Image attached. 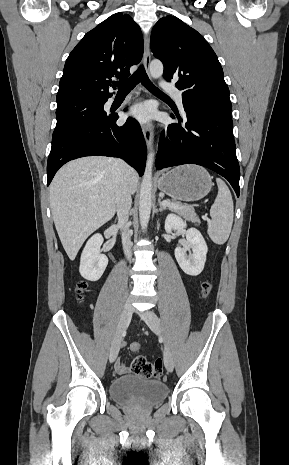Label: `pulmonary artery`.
Instances as JSON below:
<instances>
[{
  "instance_id": "1",
  "label": "pulmonary artery",
  "mask_w": 289,
  "mask_h": 465,
  "mask_svg": "<svg viewBox=\"0 0 289 465\" xmlns=\"http://www.w3.org/2000/svg\"><path fill=\"white\" fill-rule=\"evenodd\" d=\"M163 89L169 93H171L176 101H177V104L179 105L180 108H183V97H182V93L177 89L175 88L174 86L172 85H168V84H163L162 85Z\"/></svg>"
}]
</instances>
